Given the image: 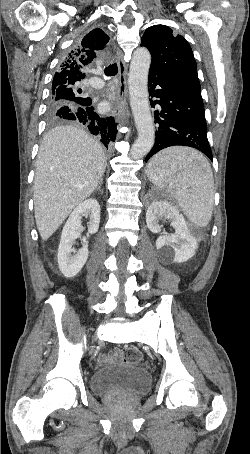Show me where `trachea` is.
<instances>
[{
    "label": "trachea",
    "mask_w": 250,
    "mask_h": 454,
    "mask_svg": "<svg viewBox=\"0 0 250 454\" xmlns=\"http://www.w3.org/2000/svg\"><path fill=\"white\" fill-rule=\"evenodd\" d=\"M106 76H115L118 73V66L116 63L109 65L104 70Z\"/></svg>",
    "instance_id": "trachea-1"
}]
</instances>
